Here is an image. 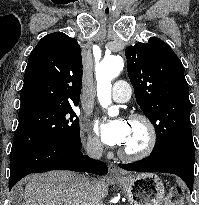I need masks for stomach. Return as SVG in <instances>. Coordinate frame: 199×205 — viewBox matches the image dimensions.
<instances>
[{
  "label": "stomach",
  "instance_id": "1",
  "mask_svg": "<svg viewBox=\"0 0 199 205\" xmlns=\"http://www.w3.org/2000/svg\"><path fill=\"white\" fill-rule=\"evenodd\" d=\"M115 182L126 193L131 205H161L165 196L162 180L153 173L123 175Z\"/></svg>",
  "mask_w": 199,
  "mask_h": 205
}]
</instances>
